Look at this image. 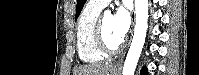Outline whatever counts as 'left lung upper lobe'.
<instances>
[{
  "label": "left lung upper lobe",
  "instance_id": "5c2ea615",
  "mask_svg": "<svg viewBox=\"0 0 199 75\" xmlns=\"http://www.w3.org/2000/svg\"><path fill=\"white\" fill-rule=\"evenodd\" d=\"M85 2H86V0H77L75 19H77L78 16L80 15V12H81Z\"/></svg>",
  "mask_w": 199,
  "mask_h": 75
}]
</instances>
